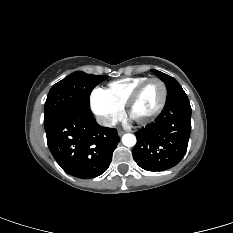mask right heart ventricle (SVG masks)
<instances>
[{
    "label": "right heart ventricle",
    "mask_w": 233,
    "mask_h": 233,
    "mask_svg": "<svg viewBox=\"0 0 233 233\" xmlns=\"http://www.w3.org/2000/svg\"><path fill=\"white\" fill-rule=\"evenodd\" d=\"M147 77H131L110 82L104 89L107 96L116 104L124 107L133 90Z\"/></svg>",
    "instance_id": "e07e8e85"
}]
</instances>
